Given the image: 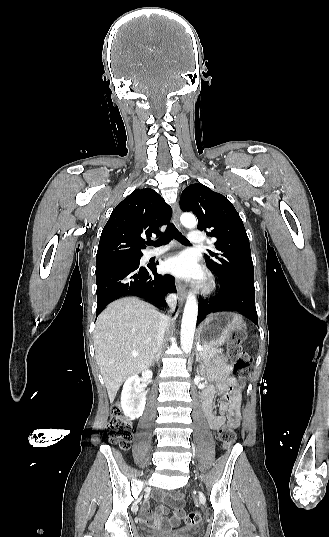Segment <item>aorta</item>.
I'll return each instance as SVG.
<instances>
[{
  "mask_svg": "<svg viewBox=\"0 0 329 537\" xmlns=\"http://www.w3.org/2000/svg\"><path fill=\"white\" fill-rule=\"evenodd\" d=\"M180 221L187 228H194L197 225L196 218L192 214H183ZM197 310V299L190 293L185 303L180 334L181 348L185 353H190L193 346Z\"/></svg>",
  "mask_w": 329,
  "mask_h": 537,
  "instance_id": "1",
  "label": "aorta"
}]
</instances>
